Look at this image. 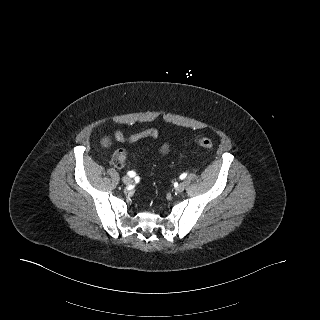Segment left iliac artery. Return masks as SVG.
<instances>
[{
  "label": "left iliac artery",
  "instance_id": "obj_1",
  "mask_svg": "<svg viewBox=\"0 0 320 320\" xmlns=\"http://www.w3.org/2000/svg\"><path fill=\"white\" fill-rule=\"evenodd\" d=\"M187 176V173H183L180 175V179H184Z\"/></svg>",
  "mask_w": 320,
  "mask_h": 320
}]
</instances>
